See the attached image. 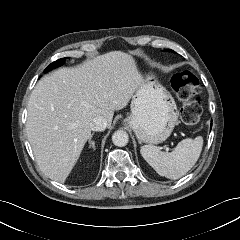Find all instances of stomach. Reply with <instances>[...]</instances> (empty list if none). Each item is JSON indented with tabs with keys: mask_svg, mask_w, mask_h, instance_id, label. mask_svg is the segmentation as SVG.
<instances>
[{
	"mask_svg": "<svg viewBox=\"0 0 240 240\" xmlns=\"http://www.w3.org/2000/svg\"><path fill=\"white\" fill-rule=\"evenodd\" d=\"M178 110L171 94L151 74L137 88L131 101V114L123 120L140 143L165 141L178 121Z\"/></svg>",
	"mask_w": 240,
	"mask_h": 240,
	"instance_id": "obj_1",
	"label": "stomach"
}]
</instances>
